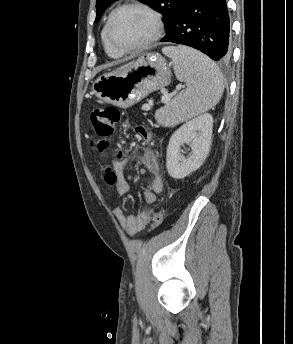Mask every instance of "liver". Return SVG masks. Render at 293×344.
<instances>
[{
  "label": "liver",
  "mask_w": 293,
  "mask_h": 344,
  "mask_svg": "<svg viewBox=\"0 0 293 344\" xmlns=\"http://www.w3.org/2000/svg\"><path fill=\"white\" fill-rule=\"evenodd\" d=\"M132 63H133V62H131V63L127 64V65H124V66H122L121 68L128 67V66L131 65ZM121 68H119V69H121Z\"/></svg>",
  "instance_id": "liver-1"
}]
</instances>
